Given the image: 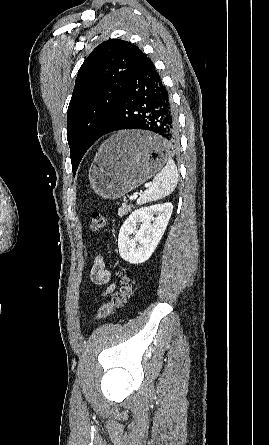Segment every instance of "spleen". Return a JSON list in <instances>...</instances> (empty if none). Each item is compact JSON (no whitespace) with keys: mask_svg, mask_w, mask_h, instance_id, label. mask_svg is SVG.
<instances>
[{"mask_svg":"<svg viewBox=\"0 0 269 445\" xmlns=\"http://www.w3.org/2000/svg\"><path fill=\"white\" fill-rule=\"evenodd\" d=\"M178 171L172 159L168 158L166 166L158 172L151 186L137 200L138 205L156 201L170 195L177 186Z\"/></svg>","mask_w":269,"mask_h":445,"instance_id":"spleen-1","label":"spleen"}]
</instances>
